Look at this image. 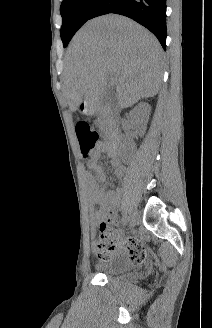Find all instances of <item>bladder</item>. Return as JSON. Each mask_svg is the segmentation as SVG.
Segmentation results:
<instances>
[{"label":"bladder","mask_w":212,"mask_h":328,"mask_svg":"<svg viewBox=\"0 0 212 328\" xmlns=\"http://www.w3.org/2000/svg\"><path fill=\"white\" fill-rule=\"evenodd\" d=\"M131 268L125 258L117 256L96 265L97 271L106 277L127 282H133L139 277V274Z\"/></svg>","instance_id":"31cf9c89"}]
</instances>
